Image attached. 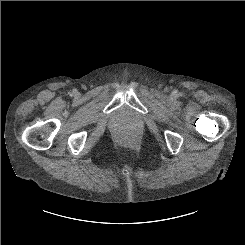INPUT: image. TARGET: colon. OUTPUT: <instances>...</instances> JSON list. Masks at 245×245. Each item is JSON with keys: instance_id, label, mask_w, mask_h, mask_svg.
<instances>
[{"instance_id": "colon-1", "label": "colon", "mask_w": 245, "mask_h": 245, "mask_svg": "<svg viewBox=\"0 0 245 245\" xmlns=\"http://www.w3.org/2000/svg\"><path fill=\"white\" fill-rule=\"evenodd\" d=\"M118 137H119L120 140L125 141V140H128L129 134H128L127 131L123 130V131H121V132L119 133Z\"/></svg>"}]
</instances>
